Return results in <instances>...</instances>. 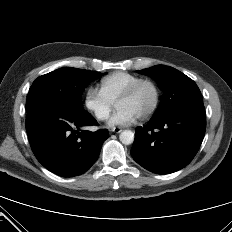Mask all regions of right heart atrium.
I'll return each instance as SVG.
<instances>
[{
	"mask_svg": "<svg viewBox=\"0 0 232 232\" xmlns=\"http://www.w3.org/2000/svg\"><path fill=\"white\" fill-rule=\"evenodd\" d=\"M83 104L85 109L98 121L106 120L113 109V103L94 87L86 90Z\"/></svg>",
	"mask_w": 232,
	"mask_h": 232,
	"instance_id": "right-heart-atrium-1",
	"label": "right heart atrium"
}]
</instances>
